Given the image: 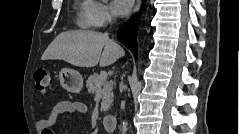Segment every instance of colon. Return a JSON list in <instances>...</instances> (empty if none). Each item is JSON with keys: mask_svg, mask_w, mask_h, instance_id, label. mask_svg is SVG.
Returning <instances> with one entry per match:
<instances>
[{"mask_svg": "<svg viewBox=\"0 0 239 134\" xmlns=\"http://www.w3.org/2000/svg\"><path fill=\"white\" fill-rule=\"evenodd\" d=\"M35 85L38 92L45 94L51 87L52 81L45 69H38L34 75Z\"/></svg>", "mask_w": 239, "mask_h": 134, "instance_id": "1", "label": "colon"}]
</instances>
